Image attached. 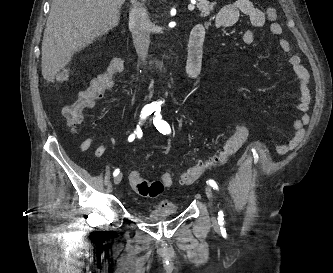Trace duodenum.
<instances>
[{
    "mask_svg": "<svg viewBox=\"0 0 333 273\" xmlns=\"http://www.w3.org/2000/svg\"><path fill=\"white\" fill-rule=\"evenodd\" d=\"M204 39L205 29L202 27L201 24H198L192 29L190 33L188 44V58L184 71L181 74L182 79L193 81L201 75ZM136 45L138 50L141 52L146 47L145 41L141 38L137 40ZM146 60L148 62L149 68L152 71L161 76L167 74V67L160 58L147 55Z\"/></svg>",
    "mask_w": 333,
    "mask_h": 273,
    "instance_id": "1",
    "label": "duodenum"
}]
</instances>
